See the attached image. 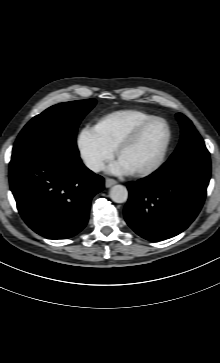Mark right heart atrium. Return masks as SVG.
I'll list each match as a JSON object with an SVG mask.
<instances>
[{
	"mask_svg": "<svg viewBox=\"0 0 220 363\" xmlns=\"http://www.w3.org/2000/svg\"><path fill=\"white\" fill-rule=\"evenodd\" d=\"M77 148L84 165L93 172L100 171L114 155L113 148L91 126L80 130Z\"/></svg>",
	"mask_w": 220,
	"mask_h": 363,
	"instance_id": "right-heart-atrium-1",
	"label": "right heart atrium"
}]
</instances>
